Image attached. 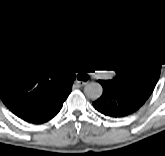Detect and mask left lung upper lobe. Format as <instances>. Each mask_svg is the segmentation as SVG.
Here are the masks:
<instances>
[{"instance_id": "5c2ea615", "label": "left lung upper lobe", "mask_w": 165, "mask_h": 156, "mask_svg": "<svg viewBox=\"0 0 165 156\" xmlns=\"http://www.w3.org/2000/svg\"><path fill=\"white\" fill-rule=\"evenodd\" d=\"M95 47L116 73L112 81L146 101L160 76L162 49L134 28L116 25L105 26L99 32Z\"/></svg>"}]
</instances>
